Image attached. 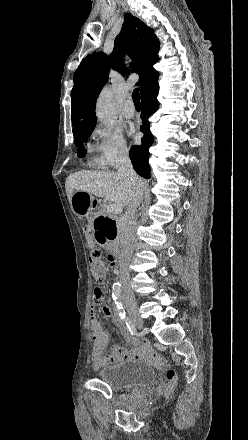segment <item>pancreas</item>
Returning a JSON list of instances; mask_svg holds the SVG:
<instances>
[{
	"mask_svg": "<svg viewBox=\"0 0 248 440\" xmlns=\"http://www.w3.org/2000/svg\"><path fill=\"white\" fill-rule=\"evenodd\" d=\"M99 215H103V216H107V217H112L113 214L107 212L106 207H103L102 210L99 212ZM115 219V218H113Z\"/></svg>",
	"mask_w": 248,
	"mask_h": 440,
	"instance_id": "cf45deb5",
	"label": "pancreas"
}]
</instances>
